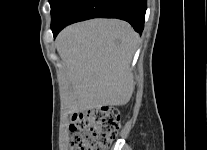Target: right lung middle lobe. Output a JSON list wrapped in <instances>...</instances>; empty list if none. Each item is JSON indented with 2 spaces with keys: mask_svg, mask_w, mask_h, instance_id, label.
I'll return each instance as SVG.
<instances>
[{
  "mask_svg": "<svg viewBox=\"0 0 207 150\" xmlns=\"http://www.w3.org/2000/svg\"><path fill=\"white\" fill-rule=\"evenodd\" d=\"M69 0H49L51 6V21L55 19Z\"/></svg>",
  "mask_w": 207,
  "mask_h": 150,
  "instance_id": "obj_1",
  "label": "right lung middle lobe"
}]
</instances>
